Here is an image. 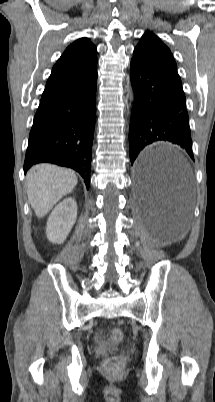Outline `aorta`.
<instances>
[{
  "label": "aorta",
  "instance_id": "762f6f07",
  "mask_svg": "<svg viewBox=\"0 0 215 402\" xmlns=\"http://www.w3.org/2000/svg\"><path fill=\"white\" fill-rule=\"evenodd\" d=\"M130 98H131V100H133V92H132V90H131V93H130Z\"/></svg>",
  "mask_w": 215,
  "mask_h": 402
}]
</instances>
